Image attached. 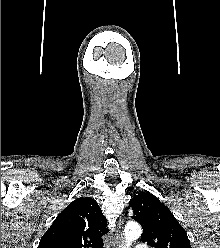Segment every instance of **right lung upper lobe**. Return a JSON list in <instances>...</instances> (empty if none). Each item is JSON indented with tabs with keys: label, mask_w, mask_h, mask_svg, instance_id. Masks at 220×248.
<instances>
[{
	"label": "right lung upper lobe",
	"mask_w": 220,
	"mask_h": 248,
	"mask_svg": "<svg viewBox=\"0 0 220 248\" xmlns=\"http://www.w3.org/2000/svg\"><path fill=\"white\" fill-rule=\"evenodd\" d=\"M106 218L90 197L72 201L42 236L38 248H103Z\"/></svg>",
	"instance_id": "obj_1"
}]
</instances>
